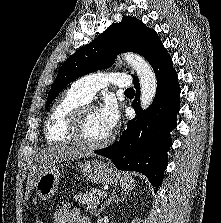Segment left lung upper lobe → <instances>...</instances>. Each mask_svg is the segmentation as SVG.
<instances>
[{
	"instance_id": "1",
	"label": "left lung upper lobe",
	"mask_w": 221,
	"mask_h": 223,
	"mask_svg": "<svg viewBox=\"0 0 221 223\" xmlns=\"http://www.w3.org/2000/svg\"><path fill=\"white\" fill-rule=\"evenodd\" d=\"M164 50L155 30L147 28L135 17L124 16L120 23L110 25L63 63L49 92L46 107L70 82L90 72L108 68L119 53H138L153 67ZM135 80L138 78L135 77Z\"/></svg>"
}]
</instances>
